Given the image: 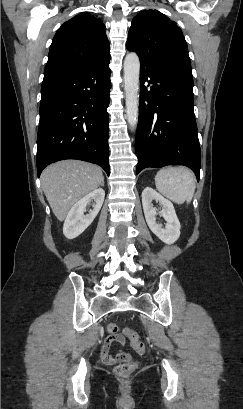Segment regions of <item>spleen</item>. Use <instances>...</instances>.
I'll list each match as a JSON object with an SVG mask.
<instances>
[{"mask_svg":"<svg viewBox=\"0 0 243 409\" xmlns=\"http://www.w3.org/2000/svg\"><path fill=\"white\" fill-rule=\"evenodd\" d=\"M157 190L177 204L192 200L195 191V176L185 167H167L155 176Z\"/></svg>","mask_w":243,"mask_h":409,"instance_id":"spleen-1","label":"spleen"}]
</instances>
